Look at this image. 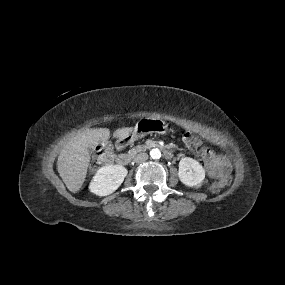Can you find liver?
<instances>
[{
	"label": "liver",
	"instance_id": "1",
	"mask_svg": "<svg viewBox=\"0 0 285 285\" xmlns=\"http://www.w3.org/2000/svg\"><path fill=\"white\" fill-rule=\"evenodd\" d=\"M132 130L133 129L129 127L119 129L117 136H126ZM109 136L110 130L107 128L89 129L78 134L68 145L59 172L69 191L77 192L85 181L90 162L88 147L105 143Z\"/></svg>",
	"mask_w": 285,
	"mask_h": 285
}]
</instances>
